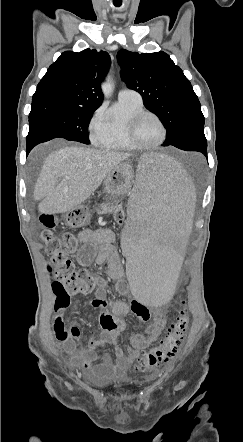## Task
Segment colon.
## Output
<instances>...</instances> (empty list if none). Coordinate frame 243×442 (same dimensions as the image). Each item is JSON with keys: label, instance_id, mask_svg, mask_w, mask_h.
I'll return each instance as SVG.
<instances>
[{"label": "colon", "instance_id": "5ec220e1", "mask_svg": "<svg viewBox=\"0 0 243 442\" xmlns=\"http://www.w3.org/2000/svg\"><path fill=\"white\" fill-rule=\"evenodd\" d=\"M40 221L44 228L39 236L46 245L50 255V272L54 278L52 289L55 294V309L67 308L70 298L77 294H89L98 287V277L91 274L87 269L76 268L70 259V255L78 248V239L73 234H65L63 238L53 232L57 226L54 215L43 213ZM116 221L119 226L124 224L121 211L116 213ZM182 308L190 307L189 299L181 300ZM189 315L185 310L174 319L165 331L160 341L145 354H143L136 366L137 371H148L157 368L161 363L174 357L181 346L185 333L189 326Z\"/></svg>", "mask_w": 243, "mask_h": 442}]
</instances>
